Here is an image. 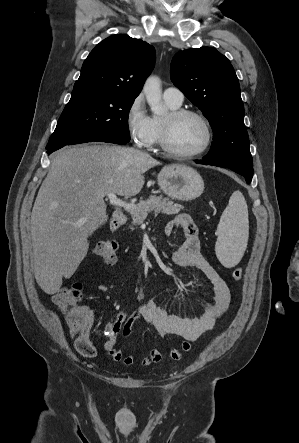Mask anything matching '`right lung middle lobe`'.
Returning a JSON list of instances; mask_svg holds the SVG:
<instances>
[{"instance_id": "1", "label": "right lung middle lobe", "mask_w": 299, "mask_h": 443, "mask_svg": "<svg viewBox=\"0 0 299 443\" xmlns=\"http://www.w3.org/2000/svg\"><path fill=\"white\" fill-rule=\"evenodd\" d=\"M134 100L109 91H72L48 144L95 135H114L129 141L128 115Z\"/></svg>"}]
</instances>
